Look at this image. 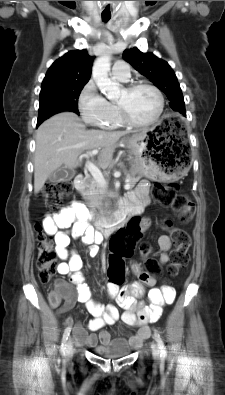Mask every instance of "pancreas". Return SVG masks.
I'll use <instances>...</instances> for the list:
<instances>
[{
	"label": "pancreas",
	"mask_w": 225,
	"mask_h": 395,
	"mask_svg": "<svg viewBox=\"0 0 225 395\" xmlns=\"http://www.w3.org/2000/svg\"><path fill=\"white\" fill-rule=\"evenodd\" d=\"M140 176H135L134 174H128L126 176V181L129 182L131 188H133L136 183L140 180ZM82 196L85 200H87L88 206L92 209L98 208L102 210L104 203L103 201L106 198V193L104 188H102L95 180H90L88 185V189L81 191Z\"/></svg>",
	"instance_id": "cf45deb5"
}]
</instances>
